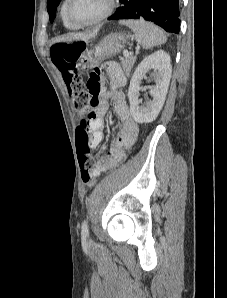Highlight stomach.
Instances as JSON below:
<instances>
[{"label":"stomach","mask_w":227,"mask_h":298,"mask_svg":"<svg viewBox=\"0 0 227 298\" xmlns=\"http://www.w3.org/2000/svg\"><path fill=\"white\" fill-rule=\"evenodd\" d=\"M129 36L122 33H111L104 37L98 45L88 50L81 59V69H92L103 60L118 54L129 40Z\"/></svg>","instance_id":"0dacf381"}]
</instances>
